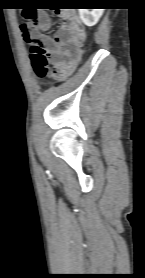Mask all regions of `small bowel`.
Instances as JSON below:
<instances>
[{
  "label": "small bowel",
  "instance_id": "c3829d8e",
  "mask_svg": "<svg viewBox=\"0 0 145 278\" xmlns=\"http://www.w3.org/2000/svg\"><path fill=\"white\" fill-rule=\"evenodd\" d=\"M59 14L63 23L54 37L46 33L51 27V20L44 12L34 20L23 23L20 30L23 35L32 36L43 46L51 64L50 74L56 78H64L82 58L81 45L85 39V31L75 13Z\"/></svg>",
  "mask_w": 145,
  "mask_h": 278
}]
</instances>
